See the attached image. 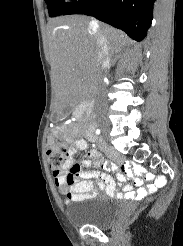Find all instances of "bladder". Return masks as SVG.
<instances>
[{
	"mask_svg": "<svg viewBox=\"0 0 183 246\" xmlns=\"http://www.w3.org/2000/svg\"><path fill=\"white\" fill-rule=\"evenodd\" d=\"M120 211L121 205L118 200L96 196L90 200L86 209L72 214L71 219L76 226L105 227L112 223Z\"/></svg>",
	"mask_w": 183,
	"mask_h": 246,
	"instance_id": "obj_1",
	"label": "bladder"
}]
</instances>
